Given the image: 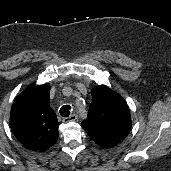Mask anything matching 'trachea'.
<instances>
[{
  "label": "trachea",
  "instance_id": "trachea-1",
  "mask_svg": "<svg viewBox=\"0 0 171 171\" xmlns=\"http://www.w3.org/2000/svg\"><path fill=\"white\" fill-rule=\"evenodd\" d=\"M70 109H71V106L70 105H64L60 108V115L62 117H68L70 115Z\"/></svg>",
  "mask_w": 171,
  "mask_h": 171
}]
</instances>
